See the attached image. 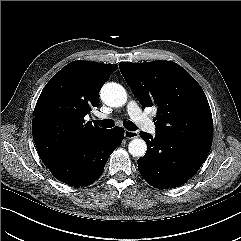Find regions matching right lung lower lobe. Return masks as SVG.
Segmentation results:
<instances>
[{
    "mask_svg": "<svg viewBox=\"0 0 241 241\" xmlns=\"http://www.w3.org/2000/svg\"><path fill=\"white\" fill-rule=\"evenodd\" d=\"M123 137V128L106 129L90 142L43 158L42 161L61 182L72 186H86L99 178L106 160L121 144Z\"/></svg>",
    "mask_w": 241,
    "mask_h": 241,
    "instance_id": "right-lung-lower-lobe-1",
    "label": "right lung lower lobe"
}]
</instances>
